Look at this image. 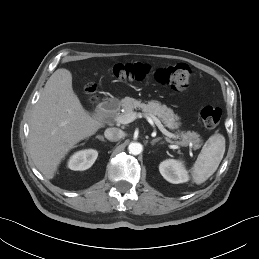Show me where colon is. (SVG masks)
Masks as SVG:
<instances>
[{"label": "colon", "mask_w": 259, "mask_h": 259, "mask_svg": "<svg viewBox=\"0 0 259 259\" xmlns=\"http://www.w3.org/2000/svg\"><path fill=\"white\" fill-rule=\"evenodd\" d=\"M153 73L155 80L173 90L186 89L191 79V69L186 64L158 68L154 72L149 65L143 63H119L112 67L111 74L125 81H142ZM88 96L95 100L94 88L89 87ZM221 110L214 106H205L200 113L201 120L207 129H214L221 119Z\"/></svg>", "instance_id": "1"}]
</instances>
